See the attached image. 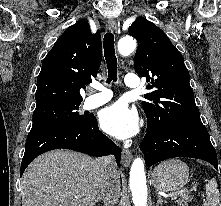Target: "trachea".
Returning a JSON list of instances; mask_svg holds the SVG:
<instances>
[{"mask_svg":"<svg viewBox=\"0 0 221 206\" xmlns=\"http://www.w3.org/2000/svg\"><path fill=\"white\" fill-rule=\"evenodd\" d=\"M104 56L108 68L107 83L111 81H117V58L115 54L114 35L111 32H107L104 36L103 42Z\"/></svg>","mask_w":221,"mask_h":206,"instance_id":"1","label":"trachea"}]
</instances>
